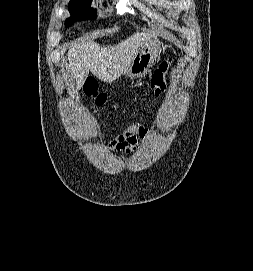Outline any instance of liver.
Listing matches in <instances>:
<instances>
[{"label":"liver","mask_w":253,"mask_h":271,"mask_svg":"<svg viewBox=\"0 0 253 271\" xmlns=\"http://www.w3.org/2000/svg\"><path fill=\"white\" fill-rule=\"evenodd\" d=\"M156 41L154 34L137 32L114 46H100L92 40L72 44L67 54L69 63L66 65L71 92L82 88L89 71L106 82L127 73L140 49Z\"/></svg>","instance_id":"obj_1"}]
</instances>
